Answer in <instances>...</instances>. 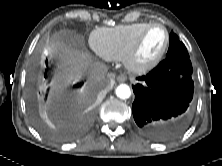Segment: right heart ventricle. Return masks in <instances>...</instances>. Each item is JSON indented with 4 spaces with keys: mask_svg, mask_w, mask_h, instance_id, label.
I'll use <instances>...</instances> for the list:
<instances>
[{
    "mask_svg": "<svg viewBox=\"0 0 222 166\" xmlns=\"http://www.w3.org/2000/svg\"><path fill=\"white\" fill-rule=\"evenodd\" d=\"M148 24L147 22H137L98 28L91 35V46L98 55L105 59H122L138 33Z\"/></svg>",
    "mask_w": 222,
    "mask_h": 166,
    "instance_id": "obj_1",
    "label": "right heart ventricle"
}]
</instances>
